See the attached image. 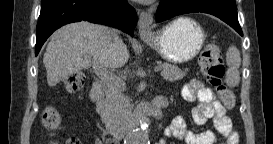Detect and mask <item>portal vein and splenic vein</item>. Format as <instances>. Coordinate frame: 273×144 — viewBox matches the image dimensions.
<instances>
[{
  "instance_id": "portal-vein-and-splenic-vein-1",
  "label": "portal vein and splenic vein",
  "mask_w": 273,
  "mask_h": 144,
  "mask_svg": "<svg viewBox=\"0 0 273 144\" xmlns=\"http://www.w3.org/2000/svg\"><path fill=\"white\" fill-rule=\"evenodd\" d=\"M154 71L155 72L161 71V67L156 66L154 68ZM96 74L104 83H106L107 86L125 88L124 81H122L116 75L111 74L104 68L98 67V69H96Z\"/></svg>"
}]
</instances>
